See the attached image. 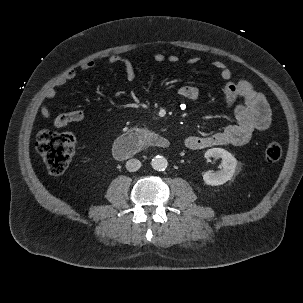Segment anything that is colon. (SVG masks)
Returning a JSON list of instances; mask_svg holds the SVG:
<instances>
[{"label":"colon","mask_w":303,"mask_h":303,"mask_svg":"<svg viewBox=\"0 0 303 303\" xmlns=\"http://www.w3.org/2000/svg\"><path fill=\"white\" fill-rule=\"evenodd\" d=\"M75 141V136L70 132L45 129L38 133L36 148L51 174L60 175L65 172L74 154ZM281 156L282 148L279 143L271 142L266 146V162L275 163Z\"/></svg>","instance_id":"obj_1"}]
</instances>
